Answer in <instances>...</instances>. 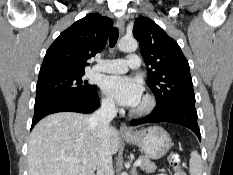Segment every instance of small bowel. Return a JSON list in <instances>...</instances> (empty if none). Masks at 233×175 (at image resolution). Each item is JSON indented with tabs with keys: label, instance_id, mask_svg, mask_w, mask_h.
<instances>
[{
	"label": "small bowel",
	"instance_id": "c3829d8e",
	"mask_svg": "<svg viewBox=\"0 0 233 175\" xmlns=\"http://www.w3.org/2000/svg\"><path fill=\"white\" fill-rule=\"evenodd\" d=\"M157 175H167V174H165V173H160V174H157Z\"/></svg>",
	"mask_w": 233,
	"mask_h": 175
}]
</instances>
